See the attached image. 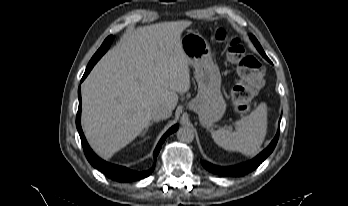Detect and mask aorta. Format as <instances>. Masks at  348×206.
Instances as JSON below:
<instances>
[{
  "label": "aorta",
  "instance_id": "1",
  "mask_svg": "<svg viewBox=\"0 0 348 206\" xmlns=\"http://www.w3.org/2000/svg\"><path fill=\"white\" fill-rule=\"evenodd\" d=\"M177 139L182 143H191L194 139V131L188 126L180 127L177 131Z\"/></svg>",
  "mask_w": 348,
  "mask_h": 206
}]
</instances>
